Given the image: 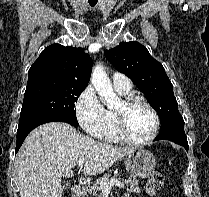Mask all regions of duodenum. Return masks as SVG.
<instances>
[{"label":"duodenum","mask_w":209,"mask_h":197,"mask_svg":"<svg viewBox=\"0 0 209 197\" xmlns=\"http://www.w3.org/2000/svg\"><path fill=\"white\" fill-rule=\"evenodd\" d=\"M85 194V189L82 185H74L71 191L72 197H82Z\"/></svg>","instance_id":"duodenum-1"}]
</instances>
